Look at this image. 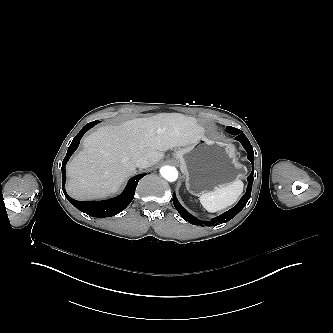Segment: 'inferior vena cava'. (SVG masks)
Instances as JSON below:
<instances>
[{"label":"inferior vena cava","instance_id":"obj_1","mask_svg":"<svg viewBox=\"0 0 333 333\" xmlns=\"http://www.w3.org/2000/svg\"><path fill=\"white\" fill-rule=\"evenodd\" d=\"M136 166L139 168H147L151 166V164L147 157L142 156L136 160Z\"/></svg>","mask_w":333,"mask_h":333}]
</instances>
